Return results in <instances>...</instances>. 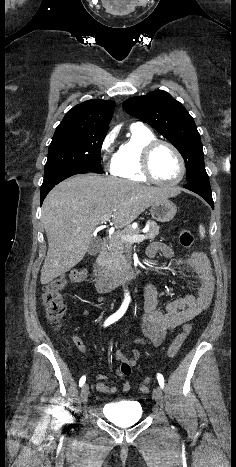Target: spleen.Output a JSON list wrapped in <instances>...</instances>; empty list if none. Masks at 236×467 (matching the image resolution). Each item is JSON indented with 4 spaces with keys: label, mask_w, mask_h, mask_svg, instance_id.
Returning a JSON list of instances; mask_svg holds the SVG:
<instances>
[{
    "label": "spleen",
    "mask_w": 236,
    "mask_h": 467,
    "mask_svg": "<svg viewBox=\"0 0 236 467\" xmlns=\"http://www.w3.org/2000/svg\"><path fill=\"white\" fill-rule=\"evenodd\" d=\"M199 233H200L201 237H204V235H205V228H204V226H202V225L199 226Z\"/></svg>",
    "instance_id": "1"
}]
</instances>
